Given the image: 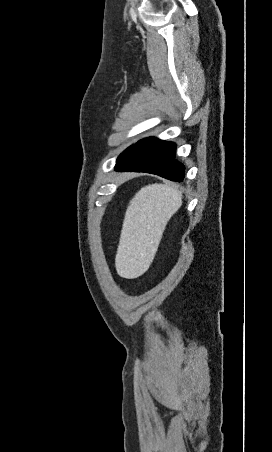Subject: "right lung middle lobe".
Segmentation results:
<instances>
[{"instance_id":"obj_1","label":"right lung middle lobe","mask_w":272,"mask_h":452,"mask_svg":"<svg viewBox=\"0 0 272 452\" xmlns=\"http://www.w3.org/2000/svg\"><path fill=\"white\" fill-rule=\"evenodd\" d=\"M133 146H134V145H133ZM133 146H131V147H133ZM131 147L127 148V149H126V150L118 157L117 161H119V160L127 153V151H128Z\"/></svg>"}]
</instances>
